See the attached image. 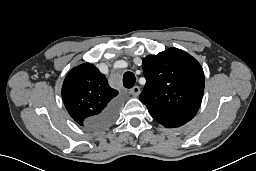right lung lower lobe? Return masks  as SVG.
Here are the masks:
<instances>
[{"mask_svg":"<svg viewBox=\"0 0 256 171\" xmlns=\"http://www.w3.org/2000/svg\"><path fill=\"white\" fill-rule=\"evenodd\" d=\"M118 112L117 102H113L106 110L100 115L92 118L90 124L93 128H103L110 125L116 118Z\"/></svg>","mask_w":256,"mask_h":171,"instance_id":"obj_1","label":"right lung lower lobe"}]
</instances>
